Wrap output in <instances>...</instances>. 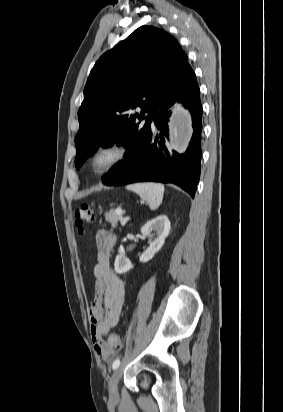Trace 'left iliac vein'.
Here are the masks:
<instances>
[{
  "instance_id": "obj_1",
  "label": "left iliac vein",
  "mask_w": 283,
  "mask_h": 412,
  "mask_svg": "<svg viewBox=\"0 0 283 412\" xmlns=\"http://www.w3.org/2000/svg\"><path fill=\"white\" fill-rule=\"evenodd\" d=\"M122 375V368H117L113 374L111 375L108 383V390H109V397L110 400L113 402L118 401L119 399V391H118V383L119 379Z\"/></svg>"
}]
</instances>
